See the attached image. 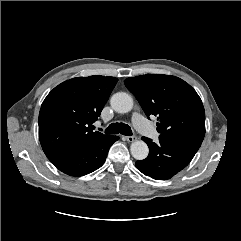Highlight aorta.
<instances>
[{
  "instance_id": "aorta-1",
  "label": "aorta",
  "mask_w": 241,
  "mask_h": 241,
  "mask_svg": "<svg viewBox=\"0 0 241 241\" xmlns=\"http://www.w3.org/2000/svg\"><path fill=\"white\" fill-rule=\"evenodd\" d=\"M111 107L118 113H128L132 110L133 99L125 92L115 93L110 100ZM132 156L136 160H144L149 153V148L144 141H134L130 146Z\"/></svg>"
}]
</instances>
